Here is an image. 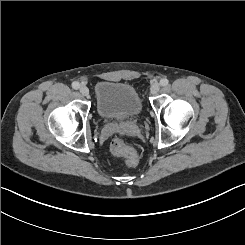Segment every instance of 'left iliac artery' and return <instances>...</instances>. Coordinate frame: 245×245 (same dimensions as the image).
Wrapping results in <instances>:
<instances>
[{"mask_svg":"<svg viewBox=\"0 0 245 245\" xmlns=\"http://www.w3.org/2000/svg\"><path fill=\"white\" fill-rule=\"evenodd\" d=\"M160 84L162 86H167L169 84V80L166 79V78H163V79L160 80Z\"/></svg>","mask_w":245,"mask_h":245,"instance_id":"left-iliac-artery-1","label":"left iliac artery"}]
</instances>
